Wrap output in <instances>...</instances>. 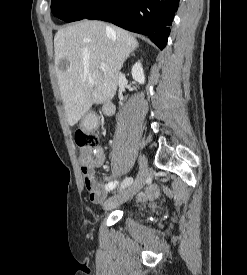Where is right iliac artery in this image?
Segmentation results:
<instances>
[{"label":"right iliac artery","mask_w":247,"mask_h":275,"mask_svg":"<svg viewBox=\"0 0 247 275\" xmlns=\"http://www.w3.org/2000/svg\"><path fill=\"white\" fill-rule=\"evenodd\" d=\"M132 182H133V178L132 177L125 178L123 180L122 184H121V188H125V187L129 186Z\"/></svg>","instance_id":"right-iliac-artery-1"}]
</instances>
